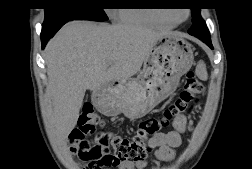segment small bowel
Segmentation results:
<instances>
[{
	"instance_id": "obj_1",
	"label": "small bowel",
	"mask_w": 252,
	"mask_h": 169,
	"mask_svg": "<svg viewBox=\"0 0 252 169\" xmlns=\"http://www.w3.org/2000/svg\"><path fill=\"white\" fill-rule=\"evenodd\" d=\"M187 120L184 115H178L173 120L174 130L160 133L152 137L148 144L155 149V156L161 161H170L175 155V149L181 145V134L185 132ZM147 162H122L118 169H146Z\"/></svg>"
}]
</instances>
